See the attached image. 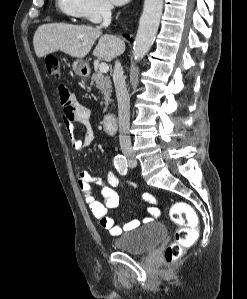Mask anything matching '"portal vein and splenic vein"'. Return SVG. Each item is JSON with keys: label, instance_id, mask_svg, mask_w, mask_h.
<instances>
[{"label": "portal vein and splenic vein", "instance_id": "obj_1", "mask_svg": "<svg viewBox=\"0 0 247 299\" xmlns=\"http://www.w3.org/2000/svg\"><path fill=\"white\" fill-rule=\"evenodd\" d=\"M99 71L101 73H107L109 71V66L106 63H101L99 65Z\"/></svg>", "mask_w": 247, "mask_h": 299}]
</instances>
